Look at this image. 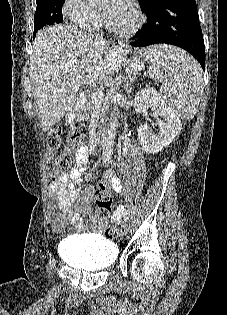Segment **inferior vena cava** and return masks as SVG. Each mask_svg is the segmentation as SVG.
<instances>
[{"instance_id":"1","label":"inferior vena cava","mask_w":227,"mask_h":315,"mask_svg":"<svg viewBox=\"0 0 227 315\" xmlns=\"http://www.w3.org/2000/svg\"><path fill=\"white\" fill-rule=\"evenodd\" d=\"M103 162H104V163H106V162H108V160H106V159H103Z\"/></svg>"}]
</instances>
